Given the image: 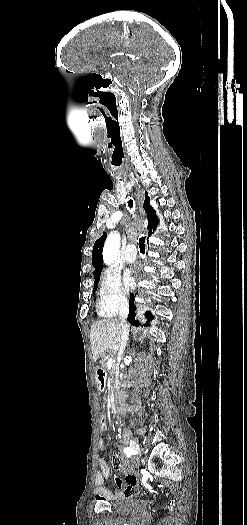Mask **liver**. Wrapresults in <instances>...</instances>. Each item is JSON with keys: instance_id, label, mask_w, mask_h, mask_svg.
Segmentation results:
<instances>
[{"instance_id": "1", "label": "liver", "mask_w": 247, "mask_h": 525, "mask_svg": "<svg viewBox=\"0 0 247 525\" xmlns=\"http://www.w3.org/2000/svg\"><path fill=\"white\" fill-rule=\"evenodd\" d=\"M121 325L119 319H102L96 321L91 327L90 343L93 361H97L107 351H118V343L121 339Z\"/></svg>"}]
</instances>
